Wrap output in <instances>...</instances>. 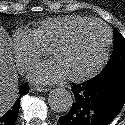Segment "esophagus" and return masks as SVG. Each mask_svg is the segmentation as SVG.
<instances>
[{
    "instance_id": "obj_1",
    "label": "esophagus",
    "mask_w": 125,
    "mask_h": 125,
    "mask_svg": "<svg viewBox=\"0 0 125 125\" xmlns=\"http://www.w3.org/2000/svg\"><path fill=\"white\" fill-rule=\"evenodd\" d=\"M37 90L40 92H48L49 91L48 88H44V87H37Z\"/></svg>"
}]
</instances>
